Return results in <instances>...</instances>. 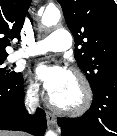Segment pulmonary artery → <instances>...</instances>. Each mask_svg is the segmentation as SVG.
Instances as JSON below:
<instances>
[{
    "label": "pulmonary artery",
    "instance_id": "pulmonary-artery-1",
    "mask_svg": "<svg viewBox=\"0 0 117 136\" xmlns=\"http://www.w3.org/2000/svg\"><path fill=\"white\" fill-rule=\"evenodd\" d=\"M71 45V34L65 29H56L47 38L32 44L26 49L17 51L14 58L40 55L50 51L61 52L69 49Z\"/></svg>",
    "mask_w": 117,
    "mask_h": 136
}]
</instances>
